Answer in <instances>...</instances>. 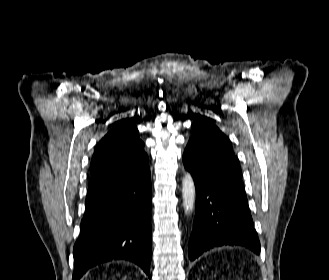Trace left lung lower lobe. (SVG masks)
Wrapping results in <instances>:
<instances>
[{
    "label": "left lung lower lobe",
    "mask_w": 329,
    "mask_h": 280,
    "mask_svg": "<svg viewBox=\"0 0 329 280\" xmlns=\"http://www.w3.org/2000/svg\"><path fill=\"white\" fill-rule=\"evenodd\" d=\"M183 163L196 186V214L189 258L194 260L202 253L222 246L245 247L260 254V242L248 207L240 166L225 163L224 180L207 182Z\"/></svg>",
    "instance_id": "obj_1"
}]
</instances>
